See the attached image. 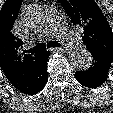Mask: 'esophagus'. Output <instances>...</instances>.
Returning <instances> with one entry per match:
<instances>
[{
  "label": "esophagus",
  "instance_id": "34e87169",
  "mask_svg": "<svg viewBox=\"0 0 113 113\" xmlns=\"http://www.w3.org/2000/svg\"><path fill=\"white\" fill-rule=\"evenodd\" d=\"M54 50L61 51V52H64V53H70V49H68V48H55Z\"/></svg>",
  "mask_w": 113,
  "mask_h": 113
}]
</instances>
